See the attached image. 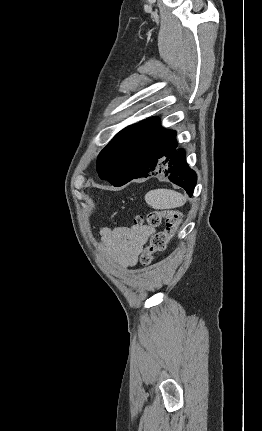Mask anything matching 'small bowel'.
<instances>
[{
  "label": "small bowel",
  "instance_id": "c3829d8e",
  "mask_svg": "<svg viewBox=\"0 0 262 431\" xmlns=\"http://www.w3.org/2000/svg\"><path fill=\"white\" fill-rule=\"evenodd\" d=\"M100 250L105 257L114 258L126 268L137 264L143 246L153 234L147 226L118 227L100 231Z\"/></svg>",
  "mask_w": 262,
  "mask_h": 431
}]
</instances>
